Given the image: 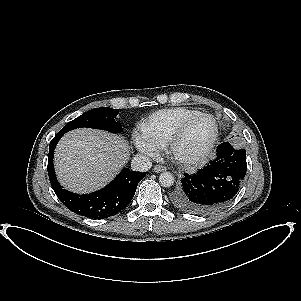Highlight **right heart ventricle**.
Returning <instances> with one entry per match:
<instances>
[{
	"label": "right heart ventricle",
	"instance_id": "1",
	"mask_svg": "<svg viewBox=\"0 0 301 301\" xmlns=\"http://www.w3.org/2000/svg\"><path fill=\"white\" fill-rule=\"evenodd\" d=\"M197 110L177 107L158 110L141 124V130L158 148H164L170 136L187 119L199 114Z\"/></svg>",
	"mask_w": 301,
	"mask_h": 301
}]
</instances>
